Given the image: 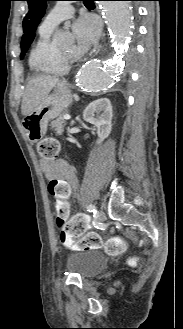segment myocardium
Segmentation results:
<instances>
[{
	"label": "myocardium",
	"mask_w": 183,
	"mask_h": 329,
	"mask_svg": "<svg viewBox=\"0 0 183 329\" xmlns=\"http://www.w3.org/2000/svg\"><path fill=\"white\" fill-rule=\"evenodd\" d=\"M80 58L81 54L79 52L73 56H67L62 51H59L60 65L66 72L70 70L76 63H78Z\"/></svg>",
	"instance_id": "f54148a6"
}]
</instances>
